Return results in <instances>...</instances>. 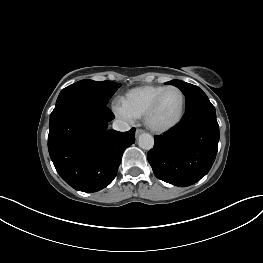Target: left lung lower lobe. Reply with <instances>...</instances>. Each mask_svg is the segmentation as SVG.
Returning <instances> with one entry per match:
<instances>
[{"mask_svg": "<svg viewBox=\"0 0 263 263\" xmlns=\"http://www.w3.org/2000/svg\"><path fill=\"white\" fill-rule=\"evenodd\" d=\"M219 126L210 101L187 110L178 125L164 135L155 136L147 158L155 176L179 187L204 177L216 158Z\"/></svg>", "mask_w": 263, "mask_h": 263, "instance_id": "0a47b994", "label": "left lung lower lobe"}]
</instances>
